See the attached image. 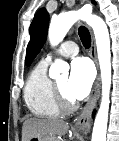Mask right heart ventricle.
I'll return each mask as SVG.
<instances>
[{"instance_id":"e07e8e85","label":"right heart ventricle","mask_w":119,"mask_h":141,"mask_svg":"<svg viewBox=\"0 0 119 141\" xmlns=\"http://www.w3.org/2000/svg\"><path fill=\"white\" fill-rule=\"evenodd\" d=\"M48 63L41 60L31 71L24 87V100L29 111L44 119L60 115L53 98V81L47 75Z\"/></svg>"}]
</instances>
